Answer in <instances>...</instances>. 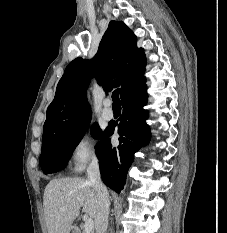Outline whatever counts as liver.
I'll return each mask as SVG.
<instances>
[{"label":"liver","instance_id":"obj_1","mask_svg":"<svg viewBox=\"0 0 227 233\" xmlns=\"http://www.w3.org/2000/svg\"><path fill=\"white\" fill-rule=\"evenodd\" d=\"M43 207L48 233H69L81 207L96 219L98 196L88 179H53L44 190Z\"/></svg>","mask_w":227,"mask_h":233}]
</instances>
